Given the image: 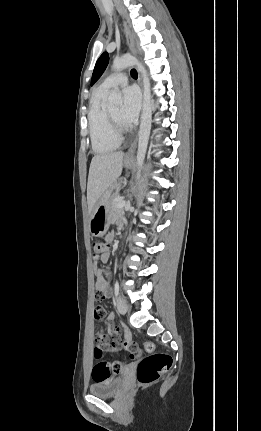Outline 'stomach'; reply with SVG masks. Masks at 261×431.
Returning <instances> with one entry per match:
<instances>
[{
  "label": "stomach",
  "mask_w": 261,
  "mask_h": 431,
  "mask_svg": "<svg viewBox=\"0 0 261 431\" xmlns=\"http://www.w3.org/2000/svg\"><path fill=\"white\" fill-rule=\"evenodd\" d=\"M124 165L127 168L132 166V159L126 158ZM119 183L115 182L110 186L96 203L89 222V229L93 236L102 237L106 234L111 223V201L116 195Z\"/></svg>",
  "instance_id": "0dacf381"
}]
</instances>
